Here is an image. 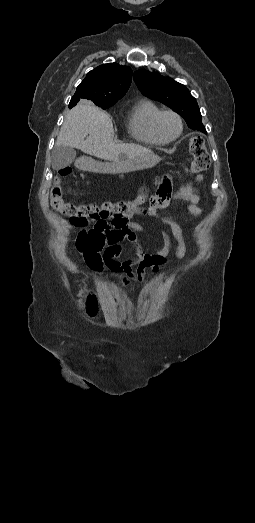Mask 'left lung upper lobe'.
<instances>
[{
    "mask_svg": "<svg viewBox=\"0 0 255 523\" xmlns=\"http://www.w3.org/2000/svg\"><path fill=\"white\" fill-rule=\"evenodd\" d=\"M134 79L143 95L173 109L185 119L191 129L206 133L196 99L184 85L142 69L134 73Z\"/></svg>",
    "mask_w": 255,
    "mask_h": 523,
    "instance_id": "1",
    "label": "left lung upper lobe"
}]
</instances>
